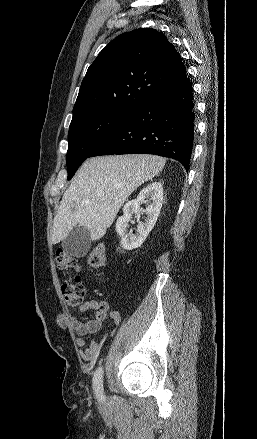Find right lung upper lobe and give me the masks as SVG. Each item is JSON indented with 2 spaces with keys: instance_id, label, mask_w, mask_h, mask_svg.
I'll use <instances>...</instances> for the list:
<instances>
[{
  "instance_id": "cb5924a9",
  "label": "right lung upper lobe",
  "mask_w": 257,
  "mask_h": 439,
  "mask_svg": "<svg viewBox=\"0 0 257 439\" xmlns=\"http://www.w3.org/2000/svg\"><path fill=\"white\" fill-rule=\"evenodd\" d=\"M185 76L181 57L164 34L151 28L123 33L88 68L73 117L97 110L134 112Z\"/></svg>"
}]
</instances>
